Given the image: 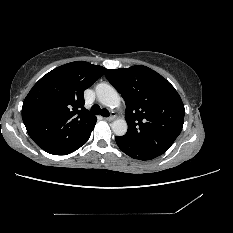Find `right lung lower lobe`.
I'll list each match as a JSON object with an SVG mask.
<instances>
[{
    "mask_svg": "<svg viewBox=\"0 0 233 233\" xmlns=\"http://www.w3.org/2000/svg\"><path fill=\"white\" fill-rule=\"evenodd\" d=\"M92 130H93V129H92ZM90 134H91V132H90L89 135L86 137V139L79 145L78 148H80L82 145H84V144L87 142V140H88L89 137H90ZM78 148H76L75 150H77ZM75 150H72V151L68 152L67 154L72 153V152H74Z\"/></svg>",
    "mask_w": 233,
    "mask_h": 233,
    "instance_id": "right-lung-lower-lobe-1",
    "label": "right lung lower lobe"
}]
</instances>
